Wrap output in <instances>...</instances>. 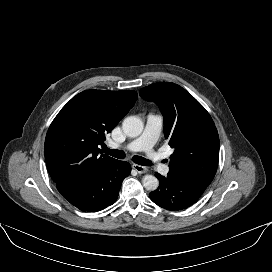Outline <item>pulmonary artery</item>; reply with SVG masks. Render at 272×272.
I'll use <instances>...</instances> for the list:
<instances>
[{
  "mask_svg": "<svg viewBox=\"0 0 272 272\" xmlns=\"http://www.w3.org/2000/svg\"><path fill=\"white\" fill-rule=\"evenodd\" d=\"M163 128V117L158 114H150L142 135L124 146L129 151H144L153 165L162 172L168 168L161 162L162 156L154 150Z\"/></svg>",
  "mask_w": 272,
  "mask_h": 272,
  "instance_id": "1",
  "label": "pulmonary artery"
}]
</instances>
